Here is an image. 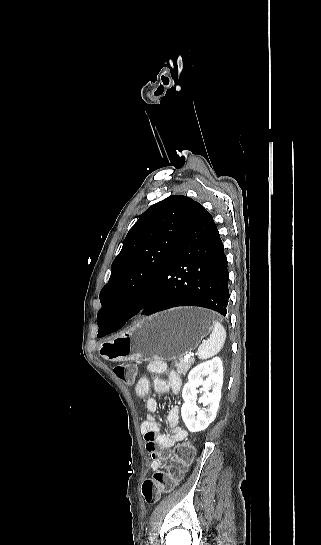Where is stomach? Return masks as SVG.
I'll return each instance as SVG.
<instances>
[{"label":"stomach","instance_id":"stomach-1","mask_svg":"<svg viewBox=\"0 0 321 545\" xmlns=\"http://www.w3.org/2000/svg\"><path fill=\"white\" fill-rule=\"evenodd\" d=\"M212 329V311L200 307H177L144 317L126 333L106 343L111 361L179 359L198 347Z\"/></svg>","mask_w":321,"mask_h":545}]
</instances>
